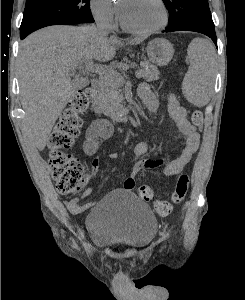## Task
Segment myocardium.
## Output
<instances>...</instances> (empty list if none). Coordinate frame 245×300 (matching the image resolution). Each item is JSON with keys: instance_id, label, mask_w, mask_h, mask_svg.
<instances>
[{"instance_id": "f54148a6", "label": "myocardium", "mask_w": 245, "mask_h": 300, "mask_svg": "<svg viewBox=\"0 0 245 300\" xmlns=\"http://www.w3.org/2000/svg\"><path fill=\"white\" fill-rule=\"evenodd\" d=\"M157 2L159 3L163 11V20L159 25L152 28H145V29L132 27L124 21L123 16L120 13L119 20H120L121 27L128 32L135 33V34H143V35L152 34L165 28L169 21V11L164 0H157Z\"/></svg>"}]
</instances>
